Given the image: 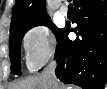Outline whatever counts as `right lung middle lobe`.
<instances>
[{
  "mask_svg": "<svg viewBox=\"0 0 107 89\" xmlns=\"http://www.w3.org/2000/svg\"><path fill=\"white\" fill-rule=\"evenodd\" d=\"M39 25L48 26L58 38L62 29L57 28L50 20V18H44L37 21H32L15 28H10L9 38V56L11 59V71L17 75H20V46L24 34L31 28Z\"/></svg>",
  "mask_w": 107,
  "mask_h": 89,
  "instance_id": "1",
  "label": "right lung middle lobe"
}]
</instances>
